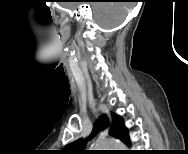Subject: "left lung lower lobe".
<instances>
[{
    "mask_svg": "<svg viewBox=\"0 0 188 154\" xmlns=\"http://www.w3.org/2000/svg\"><path fill=\"white\" fill-rule=\"evenodd\" d=\"M125 144H127L128 146L130 145V141H129V136H128V132H126L123 140H122Z\"/></svg>",
    "mask_w": 188,
    "mask_h": 154,
    "instance_id": "0a47b994",
    "label": "left lung lower lobe"
}]
</instances>
